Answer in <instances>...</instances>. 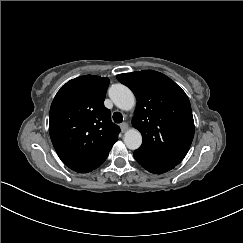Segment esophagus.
I'll return each instance as SVG.
<instances>
[{
    "mask_svg": "<svg viewBox=\"0 0 243 243\" xmlns=\"http://www.w3.org/2000/svg\"><path fill=\"white\" fill-rule=\"evenodd\" d=\"M120 128L122 132H125L128 129V124L126 122H123L120 124Z\"/></svg>",
    "mask_w": 243,
    "mask_h": 243,
    "instance_id": "1",
    "label": "esophagus"
}]
</instances>
